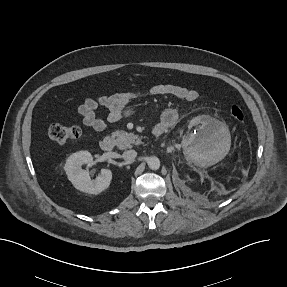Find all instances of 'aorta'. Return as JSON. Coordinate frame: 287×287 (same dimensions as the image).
<instances>
[{
	"mask_svg": "<svg viewBox=\"0 0 287 287\" xmlns=\"http://www.w3.org/2000/svg\"><path fill=\"white\" fill-rule=\"evenodd\" d=\"M147 164H148V167L151 169V170H157L160 168V160L158 157L156 156H151L147 159Z\"/></svg>",
	"mask_w": 287,
	"mask_h": 287,
	"instance_id": "762f6f07",
	"label": "aorta"
}]
</instances>
